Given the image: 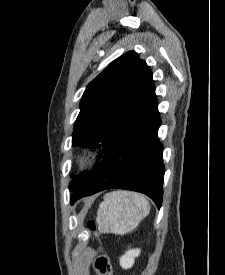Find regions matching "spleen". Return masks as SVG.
Segmentation results:
<instances>
[{
  "label": "spleen",
  "instance_id": "1",
  "mask_svg": "<svg viewBox=\"0 0 225 275\" xmlns=\"http://www.w3.org/2000/svg\"><path fill=\"white\" fill-rule=\"evenodd\" d=\"M149 212V202L138 193L123 190L107 193L97 211L98 230L125 235L133 231Z\"/></svg>",
  "mask_w": 225,
  "mask_h": 275
}]
</instances>
